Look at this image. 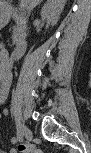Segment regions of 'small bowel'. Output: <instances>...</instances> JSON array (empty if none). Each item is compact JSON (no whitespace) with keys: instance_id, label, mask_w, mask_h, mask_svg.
Instances as JSON below:
<instances>
[{"instance_id":"c3829d8e","label":"small bowel","mask_w":91,"mask_h":153,"mask_svg":"<svg viewBox=\"0 0 91 153\" xmlns=\"http://www.w3.org/2000/svg\"><path fill=\"white\" fill-rule=\"evenodd\" d=\"M12 66L10 62L2 57L0 59V101L4 102L8 98L9 88L12 80ZM17 142L16 138L11 139V143L15 144ZM14 153V150H11Z\"/></svg>"}]
</instances>
